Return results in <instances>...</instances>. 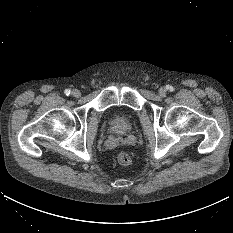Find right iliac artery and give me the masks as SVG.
<instances>
[{
    "label": "right iliac artery",
    "instance_id": "82829eb1",
    "mask_svg": "<svg viewBox=\"0 0 233 233\" xmlns=\"http://www.w3.org/2000/svg\"><path fill=\"white\" fill-rule=\"evenodd\" d=\"M64 93H65L67 96H69V95L71 94V91H70L69 89H66V90L64 91Z\"/></svg>",
    "mask_w": 233,
    "mask_h": 233
}]
</instances>
